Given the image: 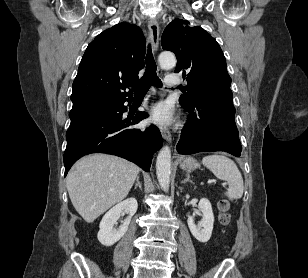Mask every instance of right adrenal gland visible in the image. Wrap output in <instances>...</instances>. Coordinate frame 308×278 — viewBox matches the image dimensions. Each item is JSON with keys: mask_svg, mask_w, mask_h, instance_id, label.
I'll return each instance as SVG.
<instances>
[{"mask_svg": "<svg viewBox=\"0 0 308 278\" xmlns=\"http://www.w3.org/2000/svg\"><path fill=\"white\" fill-rule=\"evenodd\" d=\"M139 176H137V178H136V184H135V187H134V189H137V187H139L140 189H142V185H141V183H140V181H139Z\"/></svg>", "mask_w": 308, "mask_h": 278, "instance_id": "1", "label": "right adrenal gland"}]
</instances>
